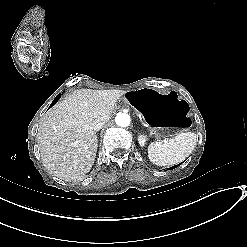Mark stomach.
Here are the masks:
<instances>
[{
  "label": "stomach",
  "mask_w": 247,
  "mask_h": 247,
  "mask_svg": "<svg viewBox=\"0 0 247 247\" xmlns=\"http://www.w3.org/2000/svg\"><path fill=\"white\" fill-rule=\"evenodd\" d=\"M125 97L156 138L177 135L191 124L188 103L174 91L141 88L128 91Z\"/></svg>",
  "instance_id": "0dacf381"
}]
</instances>
